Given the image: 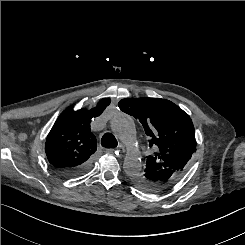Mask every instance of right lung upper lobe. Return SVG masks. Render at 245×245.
Wrapping results in <instances>:
<instances>
[{
  "label": "right lung upper lobe",
  "mask_w": 245,
  "mask_h": 245,
  "mask_svg": "<svg viewBox=\"0 0 245 245\" xmlns=\"http://www.w3.org/2000/svg\"><path fill=\"white\" fill-rule=\"evenodd\" d=\"M110 104L109 98L100 100L96 107L74 111L64 110L49 132L45 152L55 169H71L91 160L97 149V140L90 130V121Z\"/></svg>",
  "instance_id": "1"
}]
</instances>
